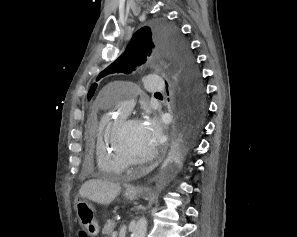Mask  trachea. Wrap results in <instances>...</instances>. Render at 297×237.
<instances>
[{
  "label": "trachea",
  "mask_w": 297,
  "mask_h": 237,
  "mask_svg": "<svg viewBox=\"0 0 297 237\" xmlns=\"http://www.w3.org/2000/svg\"><path fill=\"white\" fill-rule=\"evenodd\" d=\"M156 94H158V95H161V93H159V92H158V93H156Z\"/></svg>",
  "instance_id": "1"
}]
</instances>
